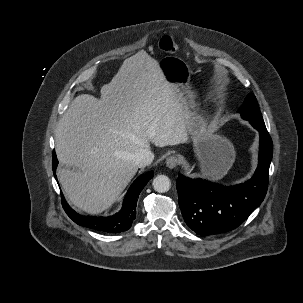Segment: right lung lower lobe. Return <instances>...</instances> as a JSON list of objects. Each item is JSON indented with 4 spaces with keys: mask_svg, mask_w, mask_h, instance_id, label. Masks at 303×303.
<instances>
[{
    "mask_svg": "<svg viewBox=\"0 0 303 303\" xmlns=\"http://www.w3.org/2000/svg\"><path fill=\"white\" fill-rule=\"evenodd\" d=\"M58 165V160L53 152L52 156V167L54 176L56 178V168ZM153 177V171H150L144 175H141L136 179L130 186L124 202L123 207L120 212L109 217H93V216H82L76 213L68 204L65 202L62 196V206L67 213V215L78 225L94 229L96 231L106 232V233H119L128 230L134 219L136 218V205L137 198L140 192L145 187L147 182Z\"/></svg>",
    "mask_w": 303,
    "mask_h": 303,
    "instance_id": "98d812e1",
    "label": "right lung lower lobe"
}]
</instances>
